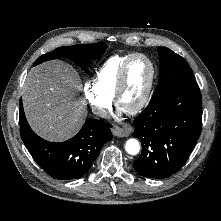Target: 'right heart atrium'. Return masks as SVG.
Segmentation results:
<instances>
[{
	"label": "right heart atrium",
	"mask_w": 221,
	"mask_h": 221,
	"mask_svg": "<svg viewBox=\"0 0 221 221\" xmlns=\"http://www.w3.org/2000/svg\"><path fill=\"white\" fill-rule=\"evenodd\" d=\"M83 94L92 111L98 116H104L112 105V99L102 94L93 82L87 81L84 84Z\"/></svg>",
	"instance_id": "1"
}]
</instances>
